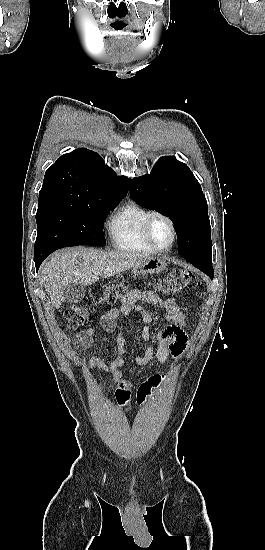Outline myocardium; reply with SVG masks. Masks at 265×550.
Returning a JSON list of instances; mask_svg holds the SVG:
<instances>
[{"mask_svg": "<svg viewBox=\"0 0 265 550\" xmlns=\"http://www.w3.org/2000/svg\"><path fill=\"white\" fill-rule=\"evenodd\" d=\"M157 218L165 220L168 223V225L171 229L172 239H171V242L168 246L160 247L159 245L156 244V242L154 241V239L152 237L151 226H152L153 221ZM143 235H144V238L147 241V243L155 251H167V250L171 249L173 247V245L175 244V242H176L177 230H176V226H175L174 221L168 215H166L164 213H161V212H158V211H153L147 216V218L144 221Z\"/></svg>", "mask_w": 265, "mask_h": 550, "instance_id": "obj_1", "label": "myocardium"}]
</instances>
